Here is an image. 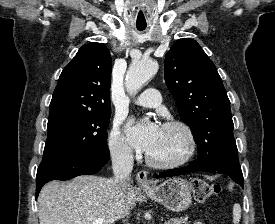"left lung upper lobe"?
I'll list each match as a JSON object with an SVG mask.
<instances>
[{
  "label": "left lung upper lobe",
  "instance_id": "left-lung-upper-lobe-1",
  "mask_svg": "<svg viewBox=\"0 0 275 224\" xmlns=\"http://www.w3.org/2000/svg\"><path fill=\"white\" fill-rule=\"evenodd\" d=\"M165 82L207 167H240L230 101L217 69L193 39H178L164 63Z\"/></svg>",
  "mask_w": 275,
  "mask_h": 224
}]
</instances>
